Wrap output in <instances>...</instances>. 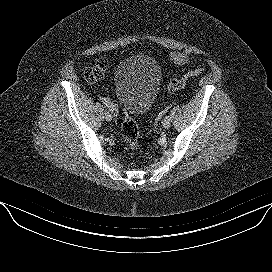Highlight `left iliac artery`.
<instances>
[{
    "mask_svg": "<svg viewBox=\"0 0 272 272\" xmlns=\"http://www.w3.org/2000/svg\"><path fill=\"white\" fill-rule=\"evenodd\" d=\"M165 117H166V119H168V120H169V119H171V117H172V116H171V114H169V113H168V114H166V116H165Z\"/></svg>",
    "mask_w": 272,
    "mask_h": 272,
    "instance_id": "left-iliac-artery-1",
    "label": "left iliac artery"
}]
</instances>
